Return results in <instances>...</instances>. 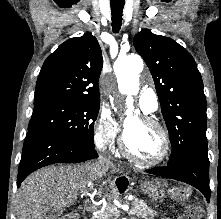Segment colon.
I'll return each instance as SVG.
<instances>
[{
	"instance_id": "5ec220e1",
	"label": "colon",
	"mask_w": 221,
	"mask_h": 219,
	"mask_svg": "<svg viewBox=\"0 0 221 219\" xmlns=\"http://www.w3.org/2000/svg\"><path fill=\"white\" fill-rule=\"evenodd\" d=\"M180 196H186L185 190H178ZM64 219H79L77 214H69ZM181 219H204L202 210L197 206H190Z\"/></svg>"
}]
</instances>
